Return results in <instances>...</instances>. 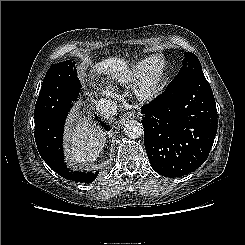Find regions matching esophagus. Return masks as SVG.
<instances>
[{"instance_id":"1","label":"esophagus","mask_w":245,"mask_h":245,"mask_svg":"<svg viewBox=\"0 0 245 245\" xmlns=\"http://www.w3.org/2000/svg\"><path fill=\"white\" fill-rule=\"evenodd\" d=\"M134 117V113H126L125 115H123L119 121L117 122V128L120 130L122 129L123 125L125 124V122H127L128 120L132 119Z\"/></svg>"}]
</instances>
